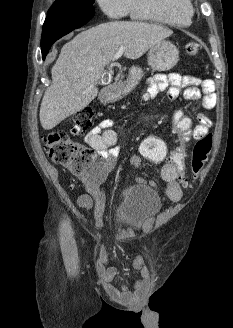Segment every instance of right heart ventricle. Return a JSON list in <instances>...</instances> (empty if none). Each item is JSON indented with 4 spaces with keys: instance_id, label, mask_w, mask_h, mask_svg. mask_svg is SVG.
Segmentation results:
<instances>
[{
    "instance_id": "obj_1",
    "label": "right heart ventricle",
    "mask_w": 233,
    "mask_h": 328,
    "mask_svg": "<svg viewBox=\"0 0 233 328\" xmlns=\"http://www.w3.org/2000/svg\"><path fill=\"white\" fill-rule=\"evenodd\" d=\"M132 19L186 27L192 22L191 0H128Z\"/></svg>"
}]
</instances>
